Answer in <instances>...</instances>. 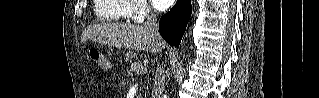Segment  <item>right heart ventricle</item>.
Segmentation results:
<instances>
[{
  "instance_id": "e07e8e85",
  "label": "right heart ventricle",
  "mask_w": 319,
  "mask_h": 98,
  "mask_svg": "<svg viewBox=\"0 0 319 98\" xmlns=\"http://www.w3.org/2000/svg\"><path fill=\"white\" fill-rule=\"evenodd\" d=\"M131 8V1L97 0L95 12L102 21H120L129 17Z\"/></svg>"
}]
</instances>
